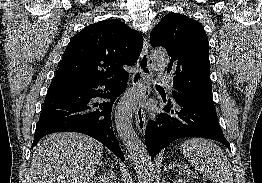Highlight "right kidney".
<instances>
[{"label": "right kidney", "mask_w": 262, "mask_h": 183, "mask_svg": "<svg viewBox=\"0 0 262 183\" xmlns=\"http://www.w3.org/2000/svg\"><path fill=\"white\" fill-rule=\"evenodd\" d=\"M98 182H92V183H116L115 177L113 176V173L111 172V175L109 173H104L102 176L98 177Z\"/></svg>", "instance_id": "1"}]
</instances>
